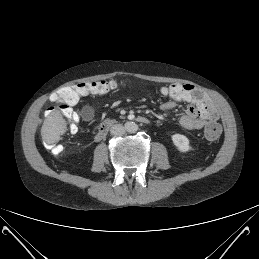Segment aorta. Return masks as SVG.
I'll return each instance as SVG.
<instances>
[{
    "label": "aorta",
    "instance_id": "aorta-1",
    "mask_svg": "<svg viewBox=\"0 0 259 259\" xmlns=\"http://www.w3.org/2000/svg\"><path fill=\"white\" fill-rule=\"evenodd\" d=\"M125 130L128 133H136L138 130V125L135 122H127L125 124Z\"/></svg>",
    "mask_w": 259,
    "mask_h": 259
}]
</instances>
